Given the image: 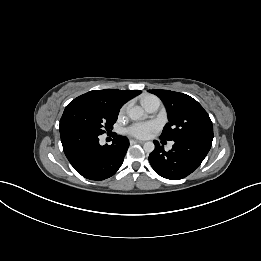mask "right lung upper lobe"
Here are the masks:
<instances>
[{"label":"right lung upper lobe","mask_w":261,"mask_h":261,"mask_svg":"<svg viewBox=\"0 0 261 261\" xmlns=\"http://www.w3.org/2000/svg\"><path fill=\"white\" fill-rule=\"evenodd\" d=\"M140 90H118V89H105V90H93L86 94L94 95L102 98L111 106L120 110L122 105L129 99L140 94Z\"/></svg>","instance_id":"right-lung-upper-lobe-1"}]
</instances>
